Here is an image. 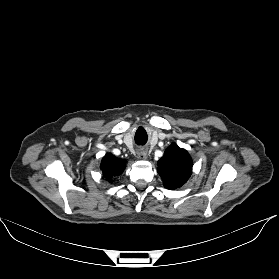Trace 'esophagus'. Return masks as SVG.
Here are the masks:
<instances>
[{
    "label": "esophagus",
    "instance_id": "1",
    "mask_svg": "<svg viewBox=\"0 0 279 279\" xmlns=\"http://www.w3.org/2000/svg\"><path fill=\"white\" fill-rule=\"evenodd\" d=\"M147 156H148L147 150H144V149L138 150V157H139L140 159H146Z\"/></svg>",
    "mask_w": 279,
    "mask_h": 279
}]
</instances>
